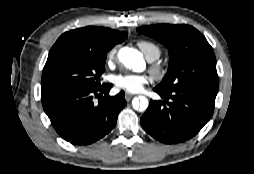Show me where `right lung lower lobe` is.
I'll return each instance as SVG.
<instances>
[{"instance_id": "right-lung-lower-lobe-1", "label": "right lung lower lobe", "mask_w": 254, "mask_h": 174, "mask_svg": "<svg viewBox=\"0 0 254 174\" xmlns=\"http://www.w3.org/2000/svg\"><path fill=\"white\" fill-rule=\"evenodd\" d=\"M111 87L102 84L98 88L49 95L42 97V105L63 139L74 145H88L114 128L119 112L126 105L123 91L113 97L107 95Z\"/></svg>"}]
</instances>
